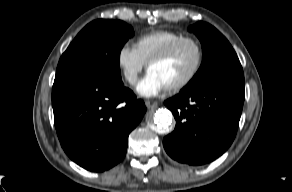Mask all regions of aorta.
<instances>
[{
    "mask_svg": "<svg viewBox=\"0 0 292 192\" xmlns=\"http://www.w3.org/2000/svg\"><path fill=\"white\" fill-rule=\"evenodd\" d=\"M153 119L156 130L160 133H165L172 123L173 116L169 110L159 109Z\"/></svg>",
    "mask_w": 292,
    "mask_h": 192,
    "instance_id": "1",
    "label": "aorta"
}]
</instances>
